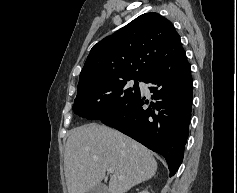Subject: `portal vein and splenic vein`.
<instances>
[{
	"mask_svg": "<svg viewBox=\"0 0 237 193\" xmlns=\"http://www.w3.org/2000/svg\"><path fill=\"white\" fill-rule=\"evenodd\" d=\"M107 171L112 174L114 172V169L110 167L107 169Z\"/></svg>",
	"mask_w": 237,
	"mask_h": 193,
	"instance_id": "1",
	"label": "portal vein and splenic vein"
}]
</instances>
